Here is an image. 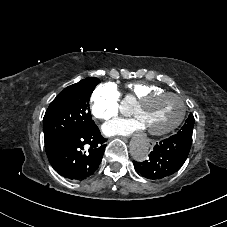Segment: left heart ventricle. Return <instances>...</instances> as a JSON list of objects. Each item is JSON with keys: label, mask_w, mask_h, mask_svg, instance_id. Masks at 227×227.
I'll list each match as a JSON object with an SVG mask.
<instances>
[{"label": "left heart ventricle", "mask_w": 227, "mask_h": 227, "mask_svg": "<svg viewBox=\"0 0 227 227\" xmlns=\"http://www.w3.org/2000/svg\"><path fill=\"white\" fill-rule=\"evenodd\" d=\"M180 102L173 96H162L156 100L137 105L133 115L147 131H163L172 126L181 114Z\"/></svg>", "instance_id": "1"}]
</instances>
